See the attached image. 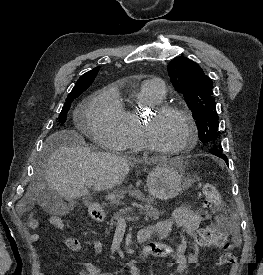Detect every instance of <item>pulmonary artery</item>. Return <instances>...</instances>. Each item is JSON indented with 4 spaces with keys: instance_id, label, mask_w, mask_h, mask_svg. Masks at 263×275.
Returning a JSON list of instances; mask_svg holds the SVG:
<instances>
[{
    "instance_id": "obj_1",
    "label": "pulmonary artery",
    "mask_w": 263,
    "mask_h": 275,
    "mask_svg": "<svg viewBox=\"0 0 263 275\" xmlns=\"http://www.w3.org/2000/svg\"><path fill=\"white\" fill-rule=\"evenodd\" d=\"M145 83L151 86L160 97H163L165 93V88L160 79H157V78L150 79V80H147Z\"/></svg>"
}]
</instances>
